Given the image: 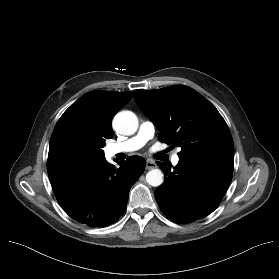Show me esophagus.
I'll return each mask as SVG.
<instances>
[{
    "label": "esophagus",
    "instance_id": "34e87169",
    "mask_svg": "<svg viewBox=\"0 0 279 279\" xmlns=\"http://www.w3.org/2000/svg\"><path fill=\"white\" fill-rule=\"evenodd\" d=\"M155 167H156V164H155L154 161H152V160H147L146 161V169L147 170H151V169H153Z\"/></svg>",
    "mask_w": 279,
    "mask_h": 279
}]
</instances>
